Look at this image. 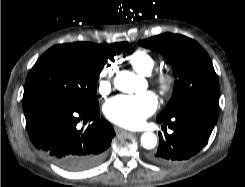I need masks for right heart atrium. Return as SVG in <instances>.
Listing matches in <instances>:
<instances>
[{
	"label": "right heart atrium",
	"instance_id": "1",
	"mask_svg": "<svg viewBox=\"0 0 245 187\" xmlns=\"http://www.w3.org/2000/svg\"><path fill=\"white\" fill-rule=\"evenodd\" d=\"M116 71V66L113 63H108L101 71L100 79L97 86V91L100 96H106L112 90V78Z\"/></svg>",
	"mask_w": 245,
	"mask_h": 187
}]
</instances>
